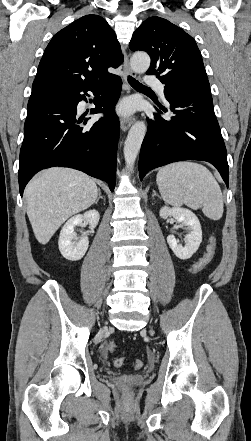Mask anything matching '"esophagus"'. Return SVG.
Segmentation results:
<instances>
[{
    "mask_svg": "<svg viewBox=\"0 0 251 441\" xmlns=\"http://www.w3.org/2000/svg\"><path fill=\"white\" fill-rule=\"evenodd\" d=\"M123 69H124L125 76H127V75L134 76L135 75L130 67L129 57L127 54L125 55V58H124ZM124 79H125V90L127 92H129L130 88H129L128 83L126 82V77ZM134 120H135L134 116H131L129 118H121L120 119L121 130L123 132L127 131L128 128L133 124Z\"/></svg>",
    "mask_w": 251,
    "mask_h": 441,
    "instance_id": "obj_1",
    "label": "esophagus"
}]
</instances>
